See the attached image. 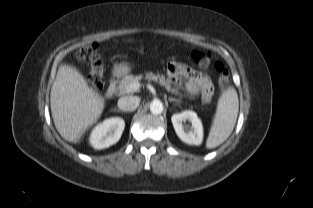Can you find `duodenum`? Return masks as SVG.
<instances>
[{
	"label": "duodenum",
	"mask_w": 313,
	"mask_h": 208,
	"mask_svg": "<svg viewBox=\"0 0 313 208\" xmlns=\"http://www.w3.org/2000/svg\"><path fill=\"white\" fill-rule=\"evenodd\" d=\"M116 91V78L113 77L106 89V95L108 97H112L115 94Z\"/></svg>",
	"instance_id": "410a0bca"
}]
</instances>
